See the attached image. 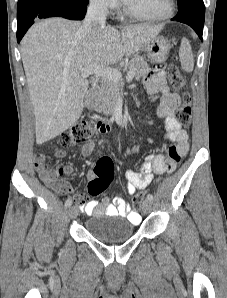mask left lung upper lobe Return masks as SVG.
I'll use <instances>...</instances> for the list:
<instances>
[{"mask_svg": "<svg viewBox=\"0 0 227 298\" xmlns=\"http://www.w3.org/2000/svg\"><path fill=\"white\" fill-rule=\"evenodd\" d=\"M178 5V12H182L188 9H196L205 14V6L203 0H178Z\"/></svg>", "mask_w": 227, "mask_h": 298, "instance_id": "obj_1", "label": "left lung upper lobe"}]
</instances>
